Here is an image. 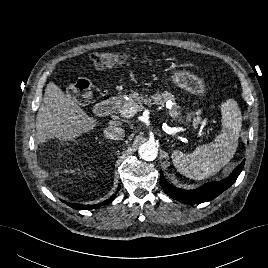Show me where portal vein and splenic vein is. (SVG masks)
<instances>
[{
  "label": "portal vein and splenic vein",
  "mask_w": 268,
  "mask_h": 268,
  "mask_svg": "<svg viewBox=\"0 0 268 268\" xmlns=\"http://www.w3.org/2000/svg\"><path fill=\"white\" fill-rule=\"evenodd\" d=\"M141 109V107L137 106L126 107L120 110V115L125 118H130L133 117Z\"/></svg>",
  "instance_id": "obj_1"
}]
</instances>
